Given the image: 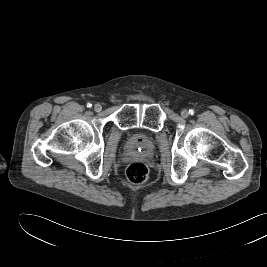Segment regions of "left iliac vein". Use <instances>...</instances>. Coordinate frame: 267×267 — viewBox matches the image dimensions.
I'll return each mask as SVG.
<instances>
[{
    "label": "left iliac vein",
    "instance_id": "1",
    "mask_svg": "<svg viewBox=\"0 0 267 267\" xmlns=\"http://www.w3.org/2000/svg\"><path fill=\"white\" fill-rule=\"evenodd\" d=\"M188 115H189V112H188L186 109H183V110L181 111V116H182L183 118H187Z\"/></svg>",
    "mask_w": 267,
    "mask_h": 267
}]
</instances>
